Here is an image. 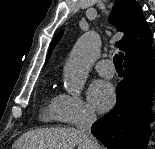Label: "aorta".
<instances>
[{"mask_svg": "<svg viewBox=\"0 0 155 149\" xmlns=\"http://www.w3.org/2000/svg\"><path fill=\"white\" fill-rule=\"evenodd\" d=\"M100 38L95 31H89L78 39L64 66V87L72 94L81 93L93 60L100 50Z\"/></svg>", "mask_w": 155, "mask_h": 149, "instance_id": "1", "label": "aorta"}]
</instances>
